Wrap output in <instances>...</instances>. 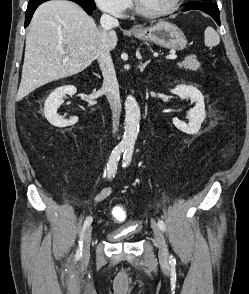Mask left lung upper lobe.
<instances>
[{
    "instance_id": "left-lung-upper-lobe-1",
    "label": "left lung upper lobe",
    "mask_w": 249,
    "mask_h": 294,
    "mask_svg": "<svg viewBox=\"0 0 249 294\" xmlns=\"http://www.w3.org/2000/svg\"><path fill=\"white\" fill-rule=\"evenodd\" d=\"M201 1H203V2H207V1H212V0H201Z\"/></svg>"
}]
</instances>
